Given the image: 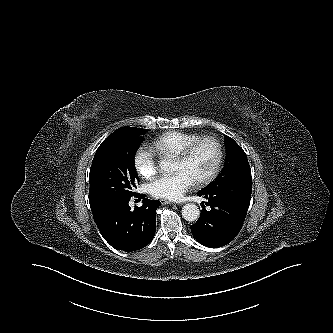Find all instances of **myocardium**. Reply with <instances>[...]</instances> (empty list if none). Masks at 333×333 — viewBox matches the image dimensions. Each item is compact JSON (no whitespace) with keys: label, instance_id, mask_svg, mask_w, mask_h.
<instances>
[{"label":"myocardium","instance_id":"myocardium-1","mask_svg":"<svg viewBox=\"0 0 333 333\" xmlns=\"http://www.w3.org/2000/svg\"><path fill=\"white\" fill-rule=\"evenodd\" d=\"M205 141H210L215 145L216 150H217V158H216L215 165H214L212 171L209 173V175L207 177L195 182L198 186H206V185L212 183L219 175L222 164H223V160H224V150H223V146H222L221 142L214 136H202V137H199L198 139L194 140L190 144H188L184 148V150L178 156L175 157V160H178V161L188 160L192 156V154L194 153L196 148Z\"/></svg>","mask_w":333,"mask_h":333}]
</instances>
